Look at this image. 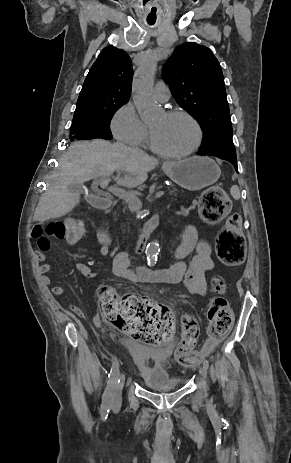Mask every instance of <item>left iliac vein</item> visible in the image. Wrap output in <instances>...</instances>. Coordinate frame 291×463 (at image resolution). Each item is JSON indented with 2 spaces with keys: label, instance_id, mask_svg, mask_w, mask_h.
Instances as JSON below:
<instances>
[{
  "label": "left iliac vein",
  "instance_id": "obj_1",
  "mask_svg": "<svg viewBox=\"0 0 291 463\" xmlns=\"http://www.w3.org/2000/svg\"><path fill=\"white\" fill-rule=\"evenodd\" d=\"M199 373L201 375V377L203 379H206L207 378V368L206 366L202 365L200 368H199Z\"/></svg>",
  "mask_w": 291,
  "mask_h": 463
}]
</instances>
